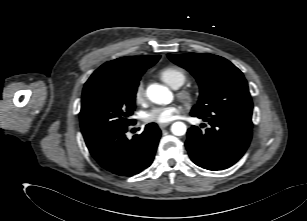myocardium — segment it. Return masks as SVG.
Instances as JSON below:
<instances>
[{"label":"myocardium","mask_w":307,"mask_h":221,"mask_svg":"<svg viewBox=\"0 0 307 221\" xmlns=\"http://www.w3.org/2000/svg\"><path fill=\"white\" fill-rule=\"evenodd\" d=\"M178 98L188 107L196 104L198 94L194 89L184 88L177 93Z\"/></svg>","instance_id":"1"}]
</instances>
